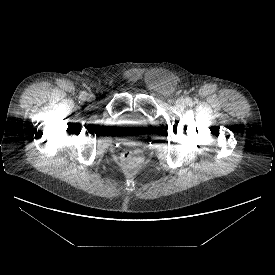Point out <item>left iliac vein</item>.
<instances>
[{"mask_svg":"<svg viewBox=\"0 0 275 275\" xmlns=\"http://www.w3.org/2000/svg\"><path fill=\"white\" fill-rule=\"evenodd\" d=\"M178 104H180V105L183 104V100H182V99H179V100H178Z\"/></svg>","mask_w":275,"mask_h":275,"instance_id":"1","label":"left iliac vein"}]
</instances>
